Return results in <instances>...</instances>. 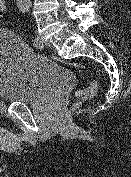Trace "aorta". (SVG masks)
Listing matches in <instances>:
<instances>
[{"instance_id":"762f6f07","label":"aorta","mask_w":131,"mask_h":177,"mask_svg":"<svg viewBox=\"0 0 131 177\" xmlns=\"http://www.w3.org/2000/svg\"><path fill=\"white\" fill-rule=\"evenodd\" d=\"M17 3L27 5L30 3V0H17Z\"/></svg>"}]
</instances>
